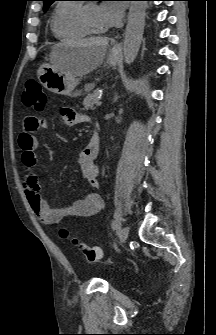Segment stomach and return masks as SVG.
<instances>
[{
	"mask_svg": "<svg viewBox=\"0 0 216 335\" xmlns=\"http://www.w3.org/2000/svg\"><path fill=\"white\" fill-rule=\"evenodd\" d=\"M77 51V47L67 45H58L52 48L51 63L42 66L37 72L39 82L48 91L58 95H67L71 97H77L81 94V91L76 89L79 84V79L62 69ZM119 59V50L113 48L109 51L106 63L110 67H115L118 64Z\"/></svg>",
	"mask_w": 216,
	"mask_h": 335,
	"instance_id": "1",
	"label": "stomach"
}]
</instances>
